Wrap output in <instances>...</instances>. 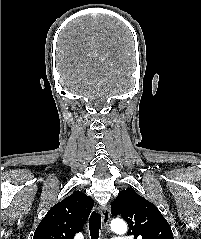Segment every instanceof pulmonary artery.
I'll return each instance as SVG.
<instances>
[{"mask_svg":"<svg viewBox=\"0 0 201 239\" xmlns=\"http://www.w3.org/2000/svg\"><path fill=\"white\" fill-rule=\"evenodd\" d=\"M113 239H131L129 236H116Z\"/></svg>","mask_w":201,"mask_h":239,"instance_id":"pulmonary-artery-1","label":"pulmonary artery"}]
</instances>
